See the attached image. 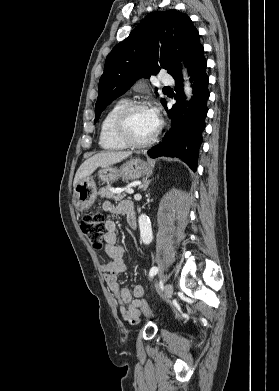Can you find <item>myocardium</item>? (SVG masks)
Returning <instances> with one entry per match:
<instances>
[{"label": "myocardium", "instance_id": "obj_1", "mask_svg": "<svg viewBox=\"0 0 279 391\" xmlns=\"http://www.w3.org/2000/svg\"><path fill=\"white\" fill-rule=\"evenodd\" d=\"M138 108H149L150 106L147 102L145 101H130L127 102L117 113L115 121H114V132L116 137L124 143L127 147H132V148H142V147H147L151 145L152 143L155 142L157 139L162 123L160 120H158L157 127L154 131V133L147 139L142 140V141H137L133 139L128 132V126H127V121L128 117L131 114L132 111L138 109Z\"/></svg>", "mask_w": 279, "mask_h": 391}]
</instances>
